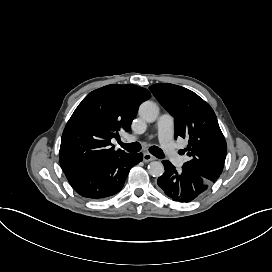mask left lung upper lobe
Instances as JSON below:
<instances>
[{"label":"left lung upper lobe","instance_id":"1","mask_svg":"<svg viewBox=\"0 0 272 272\" xmlns=\"http://www.w3.org/2000/svg\"><path fill=\"white\" fill-rule=\"evenodd\" d=\"M150 90L175 118V138L188 139L191 159L183 168L214 183L222 173L227 145L210 105L194 92L174 84L159 83Z\"/></svg>","mask_w":272,"mask_h":272}]
</instances>
